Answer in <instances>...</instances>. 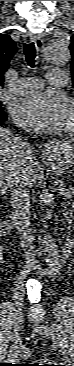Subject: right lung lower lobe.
Segmentation results:
<instances>
[{
  "mask_svg": "<svg viewBox=\"0 0 74 366\" xmlns=\"http://www.w3.org/2000/svg\"><path fill=\"white\" fill-rule=\"evenodd\" d=\"M6 119L5 115H3L2 117H0V125H2L3 121Z\"/></svg>",
  "mask_w": 74,
  "mask_h": 366,
  "instance_id": "obj_1",
  "label": "right lung lower lobe"
}]
</instances>
